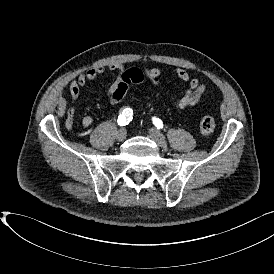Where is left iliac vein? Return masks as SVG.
Masks as SVG:
<instances>
[{"mask_svg":"<svg viewBox=\"0 0 274 274\" xmlns=\"http://www.w3.org/2000/svg\"><path fill=\"white\" fill-rule=\"evenodd\" d=\"M149 136L150 138L160 147H166L167 141L164 137V135L157 129L151 128L149 130Z\"/></svg>","mask_w":274,"mask_h":274,"instance_id":"4c4485c4","label":"left iliac vein"}]
</instances>
